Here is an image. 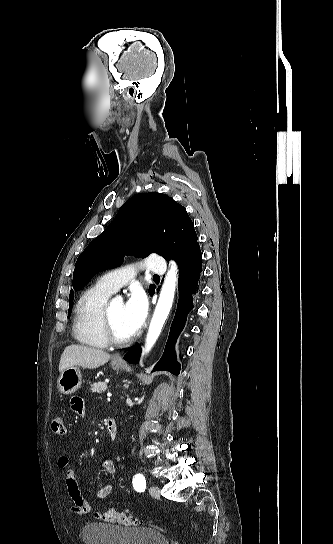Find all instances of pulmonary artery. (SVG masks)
I'll list each match as a JSON object with an SVG mask.
<instances>
[{
	"label": "pulmonary artery",
	"mask_w": 333,
	"mask_h": 544,
	"mask_svg": "<svg viewBox=\"0 0 333 544\" xmlns=\"http://www.w3.org/2000/svg\"><path fill=\"white\" fill-rule=\"evenodd\" d=\"M143 266H145L148 271L155 274H164L166 271L165 262L162 258L158 256L149 257L143 263ZM137 270V265H128L125 267L117 268L102 275L99 279V282L107 289L115 292L120 287L126 285L129 281H131L135 277Z\"/></svg>",
	"instance_id": "pulmonary-artery-1"
}]
</instances>
